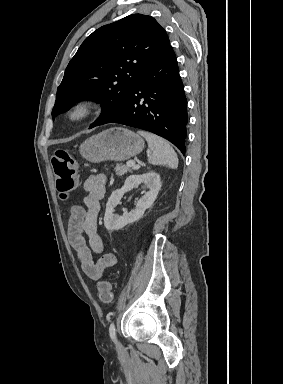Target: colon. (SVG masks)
Here are the masks:
<instances>
[{
  "instance_id": "1",
  "label": "colon",
  "mask_w": 283,
  "mask_h": 384,
  "mask_svg": "<svg viewBox=\"0 0 283 384\" xmlns=\"http://www.w3.org/2000/svg\"><path fill=\"white\" fill-rule=\"evenodd\" d=\"M56 187L62 197H67L75 187L76 163L67 150H57L51 158ZM98 297L104 304H109L113 298L112 284L109 280L102 281L97 286Z\"/></svg>"
}]
</instances>
